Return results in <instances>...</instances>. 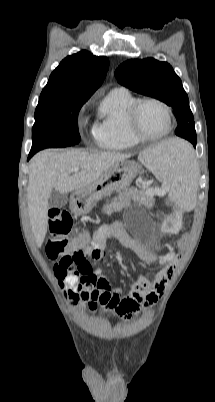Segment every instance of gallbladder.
<instances>
[{"instance_id": "1", "label": "gallbladder", "mask_w": 215, "mask_h": 402, "mask_svg": "<svg viewBox=\"0 0 215 402\" xmlns=\"http://www.w3.org/2000/svg\"><path fill=\"white\" fill-rule=\"evenodd\" d=\"M67 202H68L67 194L53 190L49 197L48 206L49 208H61L65 206Z\"/></svg>"}]
</instances>
